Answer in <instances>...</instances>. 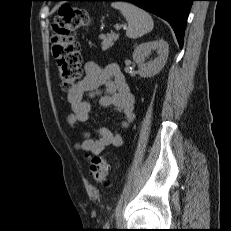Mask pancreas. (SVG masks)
Instances as JSON below:
<instances>
[{
	"label": "pancreas",
	"mask_w": 231,
	"mask_h": 231,
	"mask_svg": "<svg viewBox=\"0 0 231 231\" xmlns=\"http://www.w3.org/2000/svg\"><path fill=\"white\" fill-rule=\"evenodd\" d=\"M118 38H119V35L115 33L101 35L100 39L103 40L101 43L102 49L107 50L108 48L112 47V45Z\"/></svg>",
	"instance_id": "obj_1"
}]
</instances>
